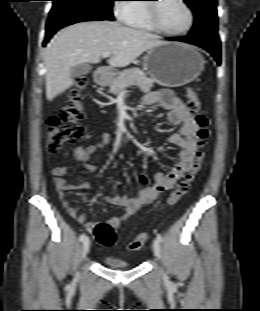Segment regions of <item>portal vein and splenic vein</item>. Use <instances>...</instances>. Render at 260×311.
<instances>
[{"label": "portal vein and splenic vein", "instance_id": "portal-vein-and-splenic-vein-1", "mask_svg": "<svg viewBox=\"0 0 260 311\" xmlns=\"http://www.w3.org/2000/svg\"><path fill=\"white\" fill-rule=\"evenodd\" d=\"M111 55V53H104L103 55H102V57L103 58H108L109 56ZM134 83H131V84H129V85H133Z\"/></svg>", "mask_w": 260, "mask_h": 311}]
</instances>
